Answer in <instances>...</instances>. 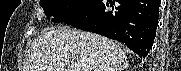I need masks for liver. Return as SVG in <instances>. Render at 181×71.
I'll return each mask as SVG.
<instances>
[{"mask_svg":"<svg viewBox=\"0 0 181 71\" xmlns=\"http://www.w3.org/2000/svg\"><path fill=\"white\" fill-rule=\"evenodd\" d=\"M127 66L119 43L65 26L34 39L23 71H124Z\"/></svg>","mask_w":181,"mask_h":71,"instance_id":"1","label":"liver"}]
</instances>
